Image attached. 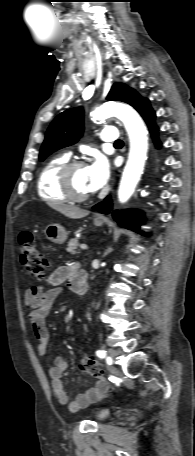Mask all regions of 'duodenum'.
Listing matches in <instances>:
<instances>
[{
    "mask_svg": "<svg viewBox=\"0 0 195 456\" xmlns=\"http://www.w3.org/2000/svg\"><path fill=\"white\" fill-rule=\"evenodd\" d=\"M71 288L77 295H84L88 289V275L85 270L79 269L71 278Z\"/></svg>",
    "mask_w": 195,
    "mask_h": 456,
    "instance_id": "1",
    "label": "duodenum"
}]
</instances>
